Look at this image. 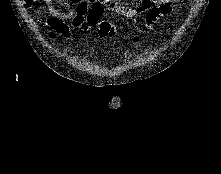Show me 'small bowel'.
<instances>
[{
	"instance_id": "obj_1",
	"label": "small bowel",
	"mask_w": 221,
	"mask_h": 174,
	"mask_svg": "<svg viewBox=\"0 0 221 174\" xmlns=\"http://www.w3.org/2000/svg\"><path fill=\"white\" fill-rule=\"evenodd\" d=\"M178 1L180 0H139L134 6L120 0H41V3L50 15L48 25L58 33L67 35L69 28L64 24L65 21H70L74 29L84 32L96 26L106 10L128 19L143 14L145 25L150 28L170 13L171 2ZM57 5L63 9H58ZM37 13H40V9H37Z\"/></svg>"
}]
</instances>
